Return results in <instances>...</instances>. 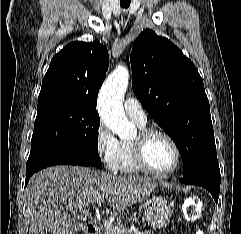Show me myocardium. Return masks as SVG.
<instances>
[{
  "mask_svg": "<svg viewBox=\"0 0 241 234\" xmlns=\"http://www.w3.org/2000/svg\"><path fill=\"white\" fill-rule=\"evenodd\" d=\"M160 135L166 138L173 146L176 154L175 163L172 168L166 171H157L153 169L147 162L146 159V146L151 137ZM133 143V154L137 166L141 171L155 176V177H167L177 171L180 166L182 153L179 144L175 138L167 131L160 128H143L140 130L137 138L134 139Z\"/></svg>",
  "mask_w": 241,
  "mask_h": 234,
  "instance_id": "myocardium-1",
  "label": "myocardium"
}]
</instances>
